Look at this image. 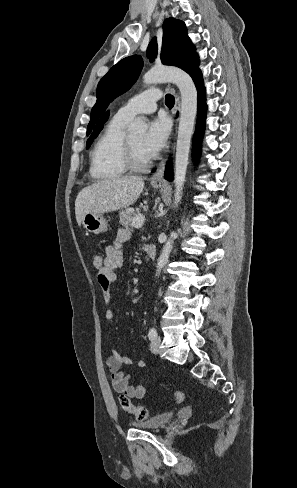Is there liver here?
<instances>
[{
	"label": "liver",
	"instance_id": "1",
	"mask_svg": "<svg viewBox=\"0 0 297 488\" xmlns=\"http://www.w3.org/2000/svg\"><path fill=\"white\" fill-rule=\"evenodd\" d=\"M143 188L144 180L140 176L106 179L83 188L75 200L78 224L86 213L102 214L134 204Z\"/></svg>",
	"mask_w": 297,
	"mask_h": 488
}]
</instances>
